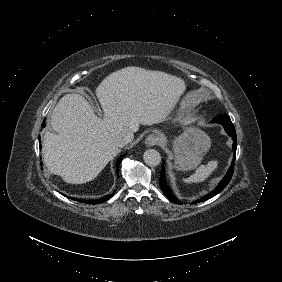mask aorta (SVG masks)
I'll return each instance as SVG.
<instances>
[{"label": "aorta", "instance_id": "obj_1", "mask_svg": "<svg viewBox=\"0 0 282 282\" xmlns=\"http://www.w3.org/2000/svg\"><path fill=\"white\" fill-rule=\"evenodd\" d=\"M143 159H144V162L148 166L154 167V166H157V165L160 164V162H161V155L155 149H148V150H146L144 152Z\"/></svg>", "mask_w": 282, "mask_h": 282}]
</instances>
